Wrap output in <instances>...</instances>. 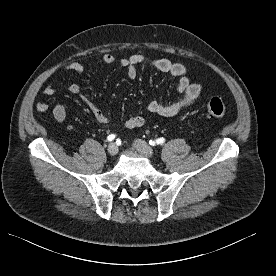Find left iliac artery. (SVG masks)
<instances>
[{"instance_id":"1","label":"left iliac artery","mask_w":276,"mask_h":276,"mask_svg":"<svg viewBox=\"0 0 276 276\" xmlns=\"http://www.w3.org/2000/svg\"><path fill=\"white\" fill-rule=\"evenodd\" d=\"M164 142H165V139H164V138H158L156 141L150 140V141H149V144H150V145H155V144L159 145V144H163Z\"/></svg>"}]
</instances>
